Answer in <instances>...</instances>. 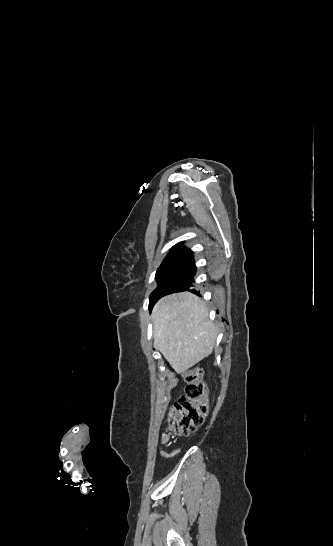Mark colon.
Wrapping results in <instances>:
<instances>
[{"label":"colon","instance_id":"colon-1","mask_svg":"<svg viewBox=\"0 0 333 546\" xmlns=\"http://www.w3.org/2000/svg\"><path fill=\"white\" fill-rule=\"evenodd\" d=\"M187 383L186 395L181 397L171 408L169 429L172 433L189 435L200 427L209 411L207 386L200 369H189L184 373ZM168 435H164L167 440Z\"/></svg>","mask_w":333,"mask_h":546}]
</instances>
